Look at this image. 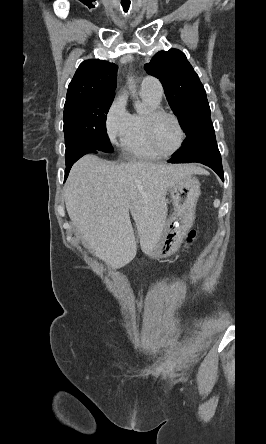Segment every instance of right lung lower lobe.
Listing matches in <instances>:
<instances>
[{"instance_id":"right-lung-lower-lobe-1","label":"right lung lower lobe","mask_w":266,"mask_h":444,"mask_svg":"<svg viewBox=\"0 0 266 444\" xmlns=\"http://www.w3.org/2000/svg\"><path fill=\"white\" fill-rule=\"evenodd\" d=\"M87 153H99V151L94 150V149L86 150V151H84L83 153H81L77 158H75V159H73V160H71V161H69V162H66L65 180H66V178H67V176H68V174H69V171H70L72 165H73V164H74L79 158H81L83 155H85V154H87Z\"/></svg>"}]
</instances>
